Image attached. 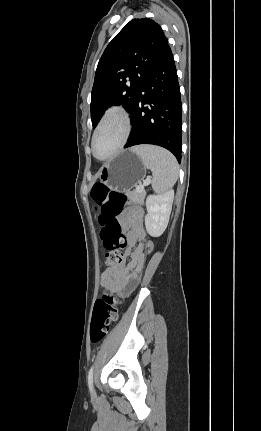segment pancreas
I'll return each instance as SVG.
<instances>
[{"label": "pancreas", "mask_w": 261, "mask_h": 431, "mask_svg": "<svg viewBox=\"0 0 261 431\" xmlns=\"http://www.w3.org/2000/svg\"><path fill=\"white\" fill-rule=\"evenodd\" d=\"M145 191L138 192L137 190L127 192V197L133 203L143 204L145 198Z\"/></svg>", "instance_id": "1"}]
</instances>
